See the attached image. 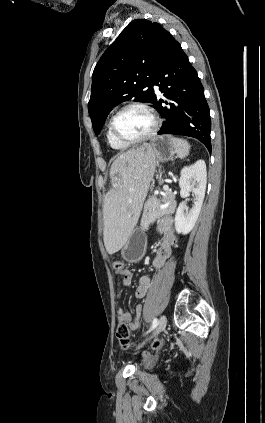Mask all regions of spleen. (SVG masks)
Listing matches in <instances>:
<instances>
[{"instance_id":"3e777b00","label":"spleen","mask_w":265,"mask_h":423,"mask_svg":"<svg viewBox=\"0 0 265 423\" xmlns=\"http://www.w3.org/2000/svg\"><path fill=\"white\" fill-rule=\"evenodd\" d=\"M175 153L177 154V157L180 159L185 158L189 155L190 145L186 140L180 139V138H172Z\"/></svg>"}]
</instances>
